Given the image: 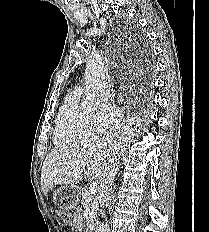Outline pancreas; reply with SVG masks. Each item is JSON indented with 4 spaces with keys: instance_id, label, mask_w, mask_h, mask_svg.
<instances>
[{
    "instance_id": "cf45deb5",
    "label": "pancreas",
    "mask_w": 209,
    "mask_h": 232,
    "mask_svg": "<svg viewBox=\"0 0 209 232\" xmlns=\"http://www.w3.org/2000/svg\"><path fill=\"white\" fill-rule=\"evenodd\" d=\"M81 205L84 208L88 207V219L86 220V226L88 230H91L94 225L96 213L98 210V202L96 197L90 195L88 191H83Z\"/></svg>"
}]
</instances>
